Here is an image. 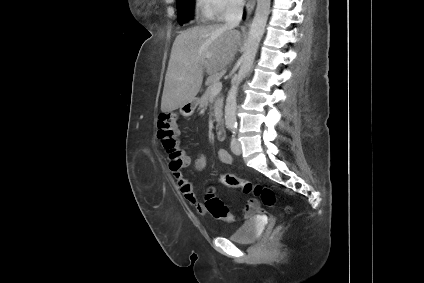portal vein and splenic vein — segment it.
Returning <instances> with one entry per match:
<instances>
[{"label": "portal vein and splenic vein", "mask_w": 424, "mask_h": 283, "mask_svg": "<svg viewBox=\"0 0 424 283\" xmlns=\"http://www.w3.org/2000/svg\"><path fill=\"white\" fill-rule=\"evenodd\" d=\"M222 89V82L219 81V79H217L211 86H210V90H211V94L212 95H217L218 93H220Z\"/></svg>", "instance_id": "1"}]
</instances>
